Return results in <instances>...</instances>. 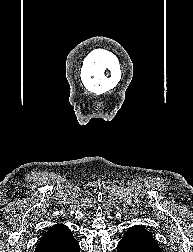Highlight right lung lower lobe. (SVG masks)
I'll use <instances>...</instances> for the list:
<instances>
[{"mask_svg":"<svg viewBox=\"0 0 193 252\" xmlns=\"http://www.w3.org/2000/svg\"><path fill=\"white\" fill-rule=\"evenodd\" d=\"M35 252H80V247L67 228L41 238Z\"/></svg>","mask_w":193,"mask_h":252,"instance_id":"right-lung-lower-lobe-1","label":"right lung lower lobe"}]
</instances>
